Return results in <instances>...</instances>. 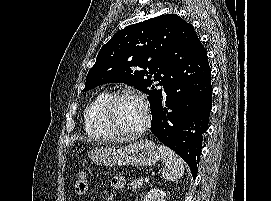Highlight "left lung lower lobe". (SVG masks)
I'll use <instances>...</instances> for the list:
<instances>
[{"mask_svg": "<svg viewBox=\"0 0 271 201\" xmlns=\"http://www.w3.org/2000/svg\"><path fill=\"white\" fill-rule=\"evenodd\" d=\"M164 92L151 132L189 165L195 179L212 109L211 69L195 31L178 36Z\"/></svg>", "mask_w": 271, "mask_h": 201, "instance_id": "0a47b994", "label": "left lung lower lobe"}]
</instances>
